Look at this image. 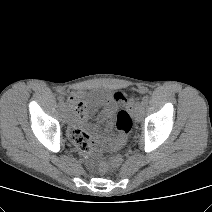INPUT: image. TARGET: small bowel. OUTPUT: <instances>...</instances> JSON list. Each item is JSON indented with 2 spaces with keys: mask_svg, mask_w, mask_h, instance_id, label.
<instances>
[{
  "mask_svg": "<svg viewBox=\"0 0 212 212\" xmlns=\"http://www.w3.org/2000/svg\"><path fill=\"white\" fill-rule=\"evenodd\" d=\"M78 98L87 99L95 106H102L98 115L99 122L112 118L115 105L105 92L78 94ZM68 135L70 139L85 153H92L94 149H114L118 146L117 137L111 134V125L107 124L102 135H97V127L88 122L87 110L82 114H74Z\"/></svg>",
  "mask_w": 212,
  "mask_h": 212,
  "instance_id": "1",
  "label": "small bowel"
}]
</instances>
